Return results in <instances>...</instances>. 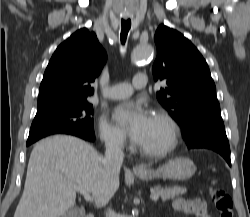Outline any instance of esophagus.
Segmentation results:
<instances>
[{
  "label": "esophagus",
  "mask_w": 250,
  "mask_h": 217,
  "mask_svg": "<svg viewBox=\"0 0 250 217\" xmlns=\"http://www.w3.org/2000/svg\"><path fill=\"white\" fill-rule=\"evenodd\" d=\"M143 170V167L142 166H134L133 167V171L134 172H138V171H142Z\"/></svg>",
  "instance_id": "esophagus-1"
}]
</instances>
